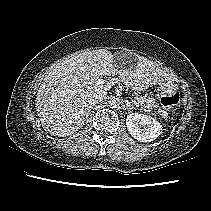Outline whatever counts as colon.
Listing matches in <instances>:
<instances>
[{"label":"colon","instance_id":"colon-1","mask_svg":"<svg viewBox=\"0 0 211 211\" xmlns=\"http://www.w3.org/2000/svg\"><path fill=\"white\" fill-rule=\"evenodd\" d=\"M180 101L179 93H174L172 95L163 96L161 98V104L164 109L171 110Z\"/></svg>","mask_w":211,"mask_h":211}]
</instances>
